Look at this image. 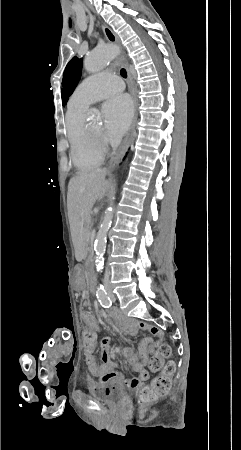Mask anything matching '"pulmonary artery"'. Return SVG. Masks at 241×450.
<instances>
[{"label": "pulmonary artery", "instance_id": "pulmonary-artery-1", "mask_svg": "<svg viewBox=\"0 0 241 450\" xmlns=\"http://www.w3.org/2000/svg\"><path fill=\"white\" fill-rule=\"evenodd\" d=\"M82 85L83 87L74 93L72 99L89 105L109 97H115L117 90H120L123 85V80L116 74L100 71L99 75L86 78Z\"/></svg>", "mask_w": 241, "mask_h": 450}]
</instances>
